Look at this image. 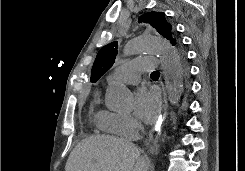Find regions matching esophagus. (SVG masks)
I'll list each match as a JSON object with an SVG mask.
<instances>
[{
  "label": "esophagus",
  "mask_w": 245,
  "mask_h": 171,
  "mask_svg": "<svg viewBox=\"0 0 245 171\" xmlns=\"http://www.w3.org/2000/svg\"><path fill=\"white\" fill-rule=\"evenodd\" d=\"M167 112H168V100L166 93L163 88V99H162V105L161 109L158 115V119L149 135V139L147 141V145L149 146L150 152H156L158 150V145L156 143V140L158 136L160 135L162 126L167 118Z\"/></svg>",
  "instance_id": "34e87169"
}]
</instances>
